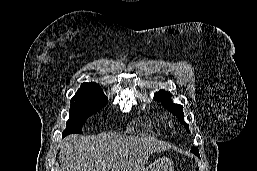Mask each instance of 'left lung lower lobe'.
<instances>
[{
    "instance_id": "1",
    "label": "left lung lower lobe",
    "mask_w": 257,
    "mask_h": 171,
    "mask_svg": "<svg viewBox=\"0 0 257 171\" xmlns=\"http://www.w3.org/2000/svg\"><path fill=\"white\" fill-rule=\"evenodd\" d=\"M192 152V151H191ZM193 153V152H192ZM195 154V153H194ZM196 156H198L199 157V154H195Z\"/></svg>"
}]
</instances>
